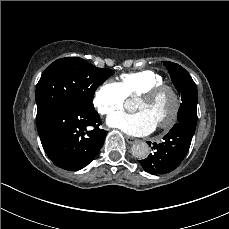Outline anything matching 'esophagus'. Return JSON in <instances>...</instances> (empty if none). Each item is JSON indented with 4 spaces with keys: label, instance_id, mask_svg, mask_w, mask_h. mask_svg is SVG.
Wrapping results in <instances>:
<instances>
[{
    "label": "esophagus",
    "instance_id": "obj_1",
    "mask_svg": "<svg viewBox=\"0 0 229 229\" xmlns=\"http://www.w3.org/2000/svg\"><path fill=\"white\" fill-rule=\"evenodd\" d=\"M126 141H127L129 144H134V143L138 142L139 140H138L137 138L127 136V137H126Z\"/></svg>",
    "mask_w": 229,
    "mask_h": 229
}]
</instances>
